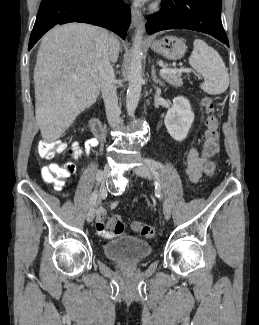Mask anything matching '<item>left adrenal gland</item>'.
I'll return each instance as SVG.
<instances>
[{
	"label": "left adrenal gland",
	"instance_id": "1",
	"mask_svg": "<svg viewBox=\"0 0 259 325\" xmlns=\"http://www.w3.org/2000/svg\"><path fill=\"white\" fill-rule=\"evenodd\" d=\"M151 76H152V80L154 83H156L160 86H164V83L160 79H157L156 70H155L154 66L152 67V70H151Z\"/></svg>",
	"mask_w": 259,
	"mask_h": 325
}]
</instances>
